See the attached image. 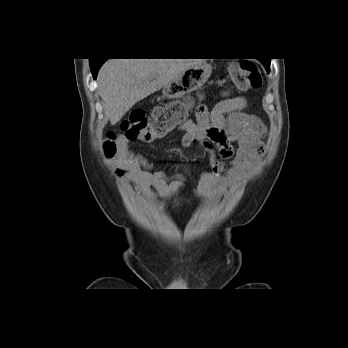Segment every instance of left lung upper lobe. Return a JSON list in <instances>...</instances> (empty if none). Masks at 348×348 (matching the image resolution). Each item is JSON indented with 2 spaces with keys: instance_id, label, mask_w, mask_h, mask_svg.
<instances>
[{
  "instance_id": "1",
  "label": "left lung upper lobe",
  "mask_w": 348,
  "mask_h": 348,
  "mask_svg": "<svg viewBox=\"0 0 348 348\" xmlns=\"http://www.w3.org/2000/svg\"><path fill=\"white\" fill-rule=\"evenodd\" d=\"M262 63L264 64V66L266 67V69L269 70V67H270V60H269V59H266V60L262 61Z\"/></svg>"
}]
</instances>
